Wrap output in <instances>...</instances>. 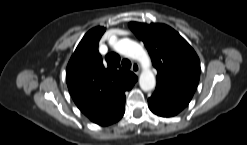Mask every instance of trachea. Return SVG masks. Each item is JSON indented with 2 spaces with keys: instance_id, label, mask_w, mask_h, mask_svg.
<instances>
[{
  "instance_id": "3493384b",
  "label": "trachea",
  "mask_w": 247,
  "mask_h": 145,
  "mask_svg": "<svg viewBox=\"0 0 247 145\" xmlns=\"http://www.w3.org/2000/svg\"><path fill=\"white\" fill-rule=\"evenodd\" d=\"M122 67L124 69H130L131 68V62L128 59H123L122 60Z\"/></svg>"
}]
</instances>
